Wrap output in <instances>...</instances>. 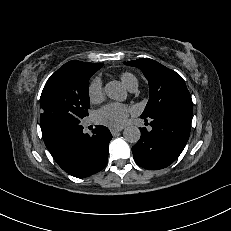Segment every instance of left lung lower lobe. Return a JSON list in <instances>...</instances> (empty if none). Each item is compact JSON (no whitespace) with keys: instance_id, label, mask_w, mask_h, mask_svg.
Returning a JSON list of instances; mask_svg holds the SVG:
<instances>
[{"instance_id":"1","label":"left lung lower lobe","mask_w":231,"mask_h":231,"mask_svg":"<svg viewBox=\"0 0 231 231\" xmlns=\"http://www.w3.org/2000/svg\"><path fill=\"white\" fill-rule=\"evenodd\" d=\"M192 109L169 107L157 111L151 119V131L140 128L141 138L132 147L135 162L145 169L158 170L172 164L183 151L191 127Z\"/></svg>"}]
</instances>
